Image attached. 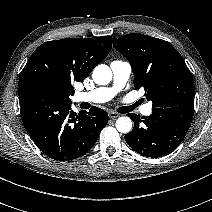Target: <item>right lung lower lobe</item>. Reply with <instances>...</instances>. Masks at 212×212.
<instances>
[{
	"label": "right lung lower lobe",
	"mask_w": 212,
	"mask_h": 212,
	"mask_svg": "<svg viewBox=\"0 0 212 212\" xmlns=\"http://www.w3.org/2000/svg\"><path fill=\"white\" fill-rule=\"evenodd\" d=\"M21 117L37 147L56 161L85 155L108 122V114L97 107L76 114L71 103L39 101L21 107Z\"/></svg>",
	"instance_id": "right-lung-lower-lobe-1"
}]
</instances>
